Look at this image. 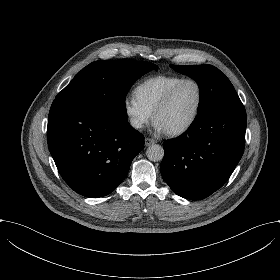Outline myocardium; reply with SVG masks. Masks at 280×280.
Returning a JSON list of instances; mask_svg holds the SVG:
<instances>
[{"label":"myocardium","instance_id":"f54148a6","mask_svg":"<svg viewBox=\"0 0 280 280\" xmlns=\"http://www.w3.org/2000/svg\"><path fill=\"white\" fill-rule=\"evenodd\" d=\"M187 82H193L198 87L199 100H198L197 108H196V111H195L193 117L187 123L168 131V133L173 136L180 135V134L188 131L197 122V120L200 116V113L202 111V108H203V103H204V88H203L202 83L198 79L193 78V77H187V78L182 79L177 85H175L166 94V96L163 98V100L160 102V104L156 107V109L154 111V118L157 119V116L170 105L175 93L179 90V88Z\"/></svg>","mask_w":280,"mask_h":280}]
</instances>
